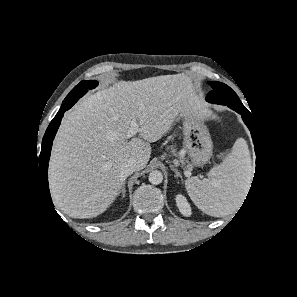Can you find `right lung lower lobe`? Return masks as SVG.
Masks as SVG:
<instances>
[{
  "instance_id": "1",
  "label": "right lung lower lobe",
  "mask_w": 297,
  "mask_h": 297,
  "mask_svg": "<svg viewBox=\"0 0 297 297\" xmlns=\"http://www.w3.org/2000/svg\"><path fill=\"white\" fill-rule=\"evenodd\" d=\"M65 111H66V109L59 110L58 113L56 114V116L54 117V119L51 121L50 125L48 126V128L45 132V135L43 137V140H42V148H41L40 156L38 159L44 191H46L45 193H46V195L49 196L50 200H51V197H50V192H49V187H48V177H47L48 162H49V158H50L52 141L55 137V134H56L57 129L61 123V119H62Z\"/></svg>"
}]
</instances>
